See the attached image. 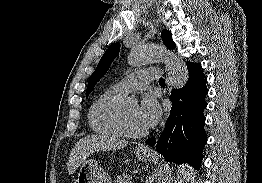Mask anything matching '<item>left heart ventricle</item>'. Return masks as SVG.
Returning a JSON list of instances; mask_svg holds the SVG:
<instances>
[{"instance_id":"obj_1","label":"left heart ventricle","mask_w":262,"mask_h":183,"mask_svg":"<svg viewBox=\"0 0 262 183\" xmlns=\"http://www.w3.org/2000/svg\"><path fill=\"white\" fill-rule=\"evenodd\" d=\"M125 114L127 116L128 122L131 125V127L135 130H146L139 122L138 120V106H130L126 109H124Z\"/></svg>"}]
</instances>
